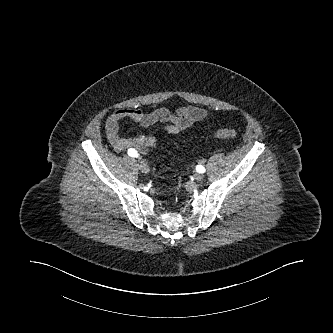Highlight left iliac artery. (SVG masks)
I'll use <instances>...</instances> for the list:
<instances>
[{"mask_svg":"<svg viewBox=\"0 0 333 333\" xmlns=\"http://www.w3.org/2000/svg\"><path fill=\"white\" fill-rule=\"evenodd\" d=\"M196 170H197V172H199V173H204V172L206 171L205 167L202 166V165H197V166H196Z\"/></svg>","mask_w":333,"mask_h":333,"instance_id":"obj_1","label":"left iliac artery"}]
</instances>
